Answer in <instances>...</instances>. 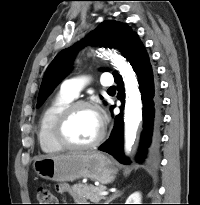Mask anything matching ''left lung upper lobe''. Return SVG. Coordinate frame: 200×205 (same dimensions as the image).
<instances>
[{
  "label": "left lung upper lobe",
  "mask_w": 200,
  "mask_h": 205,
  "mask_svg": "<svg viewBox=\"0 0 200 205\" xmlns=\"http://www.w3.org/2000/svg\"><path fill=\"white\" fill-rule=\"evenodd\" d=\"M126 24L116 21H104L79 43L60 51L48 66L38 96L37 107H40L54 88L70 70L77 50L86 43H97L102 47L120 49L125 53L130 40L135 35Z\"/></svg>",
  "instance_id": "obj_1"
}]
</instances>
